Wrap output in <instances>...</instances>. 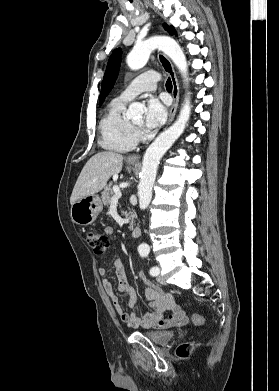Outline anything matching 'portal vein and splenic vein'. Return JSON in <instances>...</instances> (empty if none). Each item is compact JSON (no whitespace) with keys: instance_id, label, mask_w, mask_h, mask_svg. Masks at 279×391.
<instances>
[{"instance_id":"portal-vein-and-splenic-vein-1","label":"portal vein and splenic vein","mask_w":279,"mask_h":391,"mask_svg":"<svg viewBox=\"0 0 279 391\" xmlns=\"http://www.w3.org/2000/svg\"><path fill=\"white\" fill-rule=\"evenodd\" d=\"M114 191H115V194L111 198V203H118V200L121 198L122 193H121V191H120V189L118 187H115Z\"/></svg>"}]
</instances>
